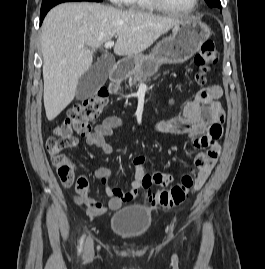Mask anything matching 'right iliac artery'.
<instances>
[{
	"label": "right iliac artery",
	"mask_w": 265,
	"mask_h": 269,
	"mask_svg": "<svg viewBox=\"0 0 265 269\" xmlns=\"http://www.w3.org/2000/svg\"><path fill=\"white\" fill-rule=\"evenodd\" d=\"M83 239H84V236L81 238L80 240V245L78 247V252L80 253L82 251V245H83Z\"/></svg>",
	"instance_id": "right-iliac-artery-1"
}]
</instances>
